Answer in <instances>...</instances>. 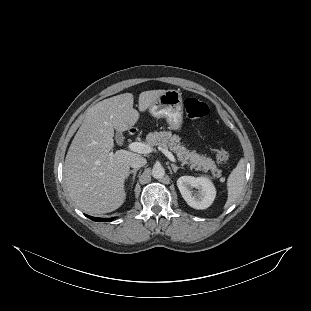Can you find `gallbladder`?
Segmentation results:
<instances>
[{"label":"gallbladder","mask_w":311,"mask_h":311,"mask_svg":"<svg viewBox=\"0 0 311 311\" xmlns=\"http://www.w3.org/2000/svg\"><path fill=\"white\" fill-rule=\"evenodd\" d=\"M116 139L118 142H120L122 140V135L121 134H117Z\"/></svg>","instance_id":"bac80fb5"}]
</instances>
